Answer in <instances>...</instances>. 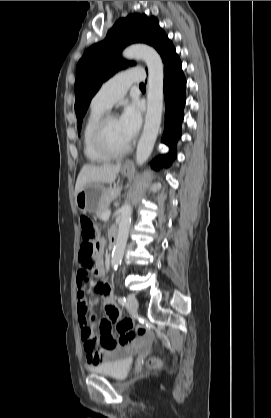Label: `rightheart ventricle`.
Here are the masks:
<instances>
[{
    "label": "right heart ventricle",
    "instance_id": "1",
    "mask_svg": "<svg viewBox=\"0 0 271 418\" xmlns=\"http://www.w3.org/2000/svg\"><path fill=\"white\" fill-rule=\"evenodd\" d=\"M107 109L91 105L89 114L84 123L82 131L83 152L85 157L91 163H103L109 160L110 157L100 153L93 143V131L97 122L106 113Z\"/></svg>",
    "mask_w": 271,
    "mask_h": 418
}]
</instances>
